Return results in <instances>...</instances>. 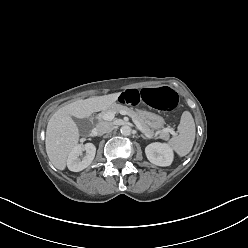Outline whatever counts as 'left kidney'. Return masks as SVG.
I'll use <instances>...</instances> for the list:
<instances>
[{
    "instance_id": "left-kidney-1",
    "label": "left kidney",
    "mask_w": 248,
    "mask_h": 248,
    "mask_svg": "<svg viewBox=\"0 0 248 248\" xmlns=\"http://www.w3.org/2000/svg\"><path fill=\"white\" fill-rule=\"evenodd\" d=\"M148 160L158 166H169L173 161V151L165 143H151L145 148Z\"/></svg>"
}]
</instances>
